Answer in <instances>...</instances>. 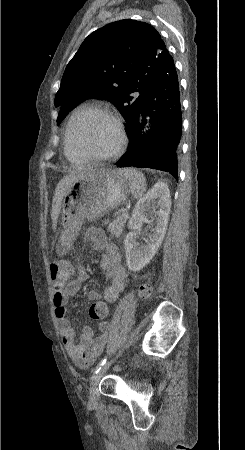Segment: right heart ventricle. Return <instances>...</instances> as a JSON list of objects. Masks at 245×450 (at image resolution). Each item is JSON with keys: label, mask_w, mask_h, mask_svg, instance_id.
Masks as SVG:
<instances>
[{"label": "right heart ventricle", "mask_w": 245, "mask_h": 450, "mask_svg": "<svg viewBox=\"0 0 245 450\" xmlns=\"http://www.w3.org/2000/svg\"><path fill=\"white\" fill-rule=\"evenodd\" d=\"M96 109H97V107H95L93 104L88 103V104L81 105L75 109L71 118H73V117L82 118ZM68 127H69V125H68ZM64 151H65L66 157L73 162L83 163V162L87 161V158H85L83 155H81L79 152H77L73 148L71 141H70L68 128H67V131L65 134V139H64Z\"/></svg>", "instance_id": "obj_1"}]
</instances>
